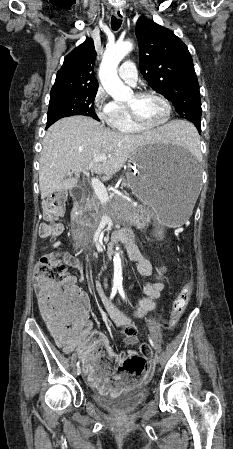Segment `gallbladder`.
Wrapping results in <instances>:
<instances>
[{
  "mask_svg": "<svg viewBox=\"0 0 233 449\" xmlns=\"http://www.w3.org/2000/svg\"><path fill=\"white\" fill-rule=\"evenodd\" d=\"M58 196L61 197V198H65L66 194H65L64 191H61V192H58Z\"/></svg>",
  "mask_w": 233,
  "mask_h": 449,
  "instance_id": "gallbladder-1",
  "label": "gallbladder"
}]
</instances>
